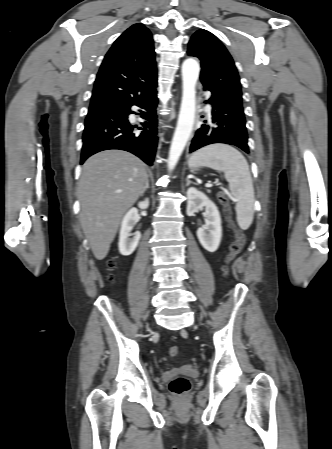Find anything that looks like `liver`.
<instances>
[{
	"label": "liver",
	"instance_id": "1",
	"mask_svg": "<svg viewBox=\"0 0 332 449\" xmlns=\"http://www.w3.org/2000/svg\"><path fill=\"white\" fill-rule=\"evenodd\" d=\"M145 164L131 153L106 150L83 164L78 187L80 223L96 259H104L126 211L146 183Z\"/></svg>",
	"mask_w": 332,
	"mask_h": 449
}]
</instances>
